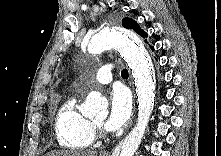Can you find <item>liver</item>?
Returning <instances> with one entry per match:
<instances>
[{
  "label": "liver",
  "mask_w": 221,
  "mask_h": 156,
  "mask_svg": "<svg viewBox=\"0 0 221 156\" xmlns=\"http://www.w3.org/2000/svg\"><path fill=\"white\" fill-rule=\"evenodd\" d=\"M45 156H97L94 150L79 151V150H57L47 153Z\"/></svg>",
  "instance_id": "6515ba94"
}]
</instances>
